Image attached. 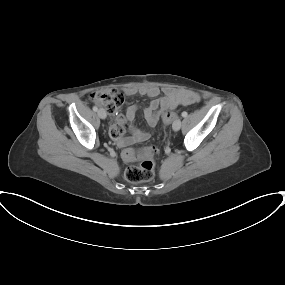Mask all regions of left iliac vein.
I'll list each match as a JSON object with an SVG mask.
<instances>
[{
	"mask_svg": "<svg viewBox=\"0 0 285 285\" xmlns=\"http://www.w3.org/2000/svg\"><path fill=\"white\" fill-rule=\"evenodd\" d=\"M180 127H181V121L179 119L175 120L172 125L173 130L178 131Z\"/></svg>",
	"mask_w": 285,
	"mask_h": 285,
	"instance_id": "left-iliac-vein-1",
	"label": "left iliac vein"
}]
</instances>
